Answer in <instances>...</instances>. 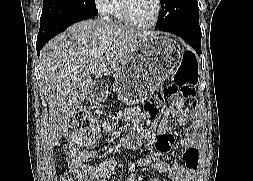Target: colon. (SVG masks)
I'll return each instance as SVG.
<instances>
[{
    "instance_id": "colon-1",
    "label": "colon",
    "mask_w": 253,
    "mask_h": 181,
    "mask_svg": "<svg viewBox=\"0 0 253 181\" xmlns=\"http://www.w3.org/2000/svg\"><path fill=\"white\" fill-rule=\"evenodd\" d=\"M197 67L196 57L185 52L182 62L174 74L173 81L150 99L146 106L147 115L149 117L155 116L160 104L177 94H181L185 98L191 97L197 85ZM97 130L96 119L88 111H76L68 121L65 130V136L69 142L67 150L76 145L92 144L96 138ZM62 181H85V178L76 173H67L63 176Z\"/></svg>"
}]
</instances>
